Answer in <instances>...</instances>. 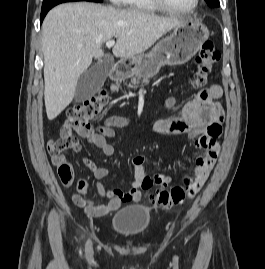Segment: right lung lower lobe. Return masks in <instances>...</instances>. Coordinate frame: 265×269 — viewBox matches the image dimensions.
<instances>
[{"instance_id": "obj_1", "label": "right lung lower lobe", "mask_w": 265, "mask_h": 269, "mask_svg": "<svg viewBox=\"0 0 265 269\" xmlns=\"http://www.w3.org/2000/svg\"><path fill=\"white\" fill-rule=\"evenodd\" d=\"M75 1H90L91 0H43V4H42V10H41V23L45 17V15L47 14V12L54 6L60 4V3H64V2H75Z\"/></svg>"}]
</instances>
